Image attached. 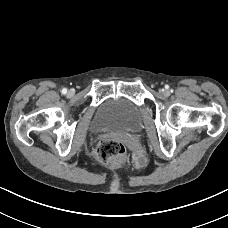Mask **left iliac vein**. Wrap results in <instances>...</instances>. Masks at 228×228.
Masks as SVG:
<instances>
[{"mask_svg":"<svg viewBox=\"0 0 228 228\" xmlns=\"http://www.w3.org/2000/svg\"><path fill=\"white\" fill-rule=\"evenodd\" d=\"M161 93H162L163 95H167V94H168V91H167V90H162Z\"/></svg>","mask_w":228,"mask_h":228,"instance_id":"left-iliac-vein-1","label":"left iliac vein"}]
</instances>
